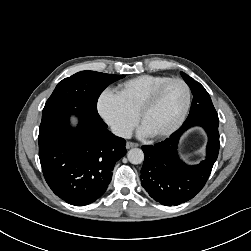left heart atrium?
Returning a JSON list of instances; mask_svg holds the SVG:
<instances>
[{"label":"left heart atrium","instance_id":"39dd6f15","mask_svg":"<svg viewBox=\"0 0 251 251\" xmlns=\"http://www.w3.org/2000/svg\"><path fill=\"white\" fill-rule=\"evenodd\" d=\"M140 133H141L142 135H149L142 127H141V129H140Z\"/></svg>","mask_w":251,"mask_h":251}]
</instances>
